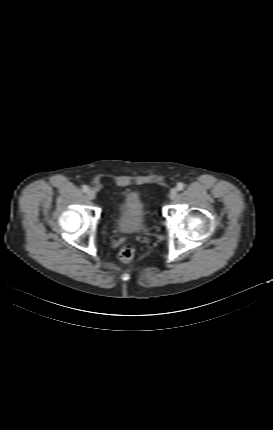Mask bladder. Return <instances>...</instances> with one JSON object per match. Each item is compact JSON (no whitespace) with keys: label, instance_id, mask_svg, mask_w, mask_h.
Returning a JSON list of instances; mask_svg holds the SVG:
<instances>
[{"label":"bladder","instance_id":"31cf9c89","mask_svg":"<svg viewBox=\"0 0 273 430\" xmlns=\"http://www.w3.org/2000/svg\"><path fill=\"white\" fill-rule=\"evenodd\" d=\"M115 227L123 234H139L145 230V206L137 193L130 192L125 195Z\"/></svg>","mask_w":273,"mask_h":430}]
</instances>
